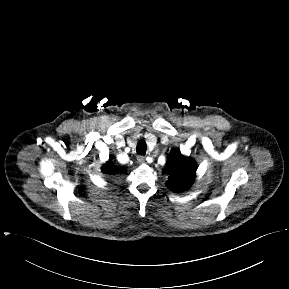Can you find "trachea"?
Listing matches in <instances>:
<instances>
[{"label":"trachea","mask_w":289,"mask_h":289,"mask_svg":"<svg viewBox=\"0 0 289 289\" xmlns=\"http://www.w3.org/2000/svg\"><path fill=\"white\" fill-rule=\"evenodd\" d=\"M146 149H147L146 142L144 140H140L138 142V144H137L136 152L138 154L145 155L146 154Z\"/></svg>","instance_id":"1"}]
</instances>
